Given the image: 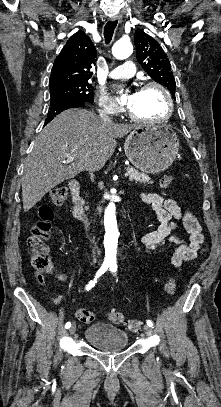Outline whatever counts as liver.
<instances>
[{
    "instance_id": "obj_1",
    "label": "liver",
    "mask_w": 221,
    "mask_h": 407,
    "mask_svg": "<svg viewBox=\"0 0 221 407\" xmlns=\"http://www.w3.org/2000/svg\"><path fill=\"white\" fill-rule=\"evenodd\" d=\"M134 125L105 124L86 109H68L57 115L37 136L26 158L22 176L23 209L28 212L49 191L83 171L100 170L113 155L116 138ZM65 154L75 157L66 162Z\"/></svg>"
}]
</instances>
